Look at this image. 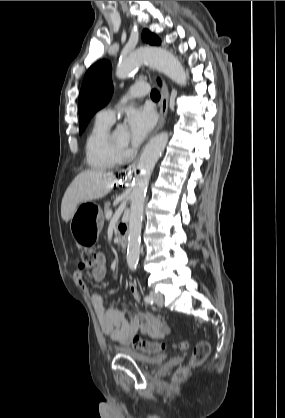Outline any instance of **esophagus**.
<instances>
[{"label": "esophagus", "instance_id": "1", "mask_svg": "<svg viewBox=\"0 0 285 418\" xmlns=\"http://www.w3.org/2000/svg\"><path fill=\"white\" fill-rule=\"evenodd\" d=\"M160 95H161V99H160V103H159L160 118H159L158 125L156 126L153 134L156 133L158 130H160L164 126L166 116H167V112H168L169 92H168L167 86H166L164 81L162 82V86L160 88ZM137 162H138V159L135 160L131 165H129L127 167V170L128 171L136 170Z\"/></svg>", "mask_w": 285, "mask_h": 418}]
</instances>
